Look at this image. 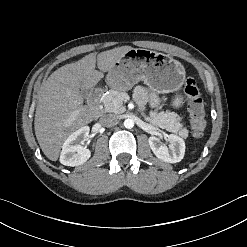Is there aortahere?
Returning a JSON list of instances; mask_svg holds the SVG:
<instances>
[{"mask_svg": "<svg viewBox=\"0 0 247 247\" xmlns=\"http://www.w3.org/2000/svg\"><path fill=\"white\" fill-rule=\"evenodd\" d=\"M124 126H125V128H127V129H131V128L134 127V121H133L132 119L128 118V119H126V120L124 121Z\"/></svg>", "mask_w": 247, "mask_h": 247, "instance_id": "1", "label": "aorta"}]
</instances>
